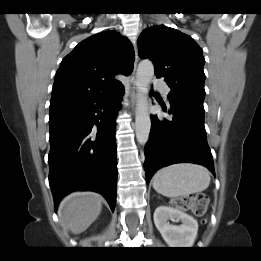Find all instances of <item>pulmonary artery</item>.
Listing matches in <instances>:
<instances>
[{"label":"pulmonary artery","mask_w":261,"mask_h":261,"mask_svg":"<svg viewBox=\"0 0 261 261\" xmlns=\"http://www.w3.org/2000/svg\"><path fill=\"white\" fill-rule=\"evenodd\" d=\"M153 87L158 89L165 97L168 96L169 87L166 85V83L163 80L160 79L154 80Z\"/></svg>","instance_id":"obj_1"}]
</instances>
